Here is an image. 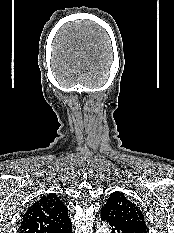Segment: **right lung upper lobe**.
I'll list each match as a JSON object with an SVG mask.
<instances>
[{
  "label": "right lung upper lobe",
  "instance_id": "1",
  "mask_svg": "<svg viewBox=\"0 0 174 233\" xmlns=\"http://www.w3.org/2000/svg\"><path fill=\"white\" fill-rule=\"evenodd\" d=\"M71 225L68 208L56 193L43 195L22 216L20 233H55Z\"/></svg>",
  "mask_w": 174,
  "mask_h": 233
}]
</instances>
